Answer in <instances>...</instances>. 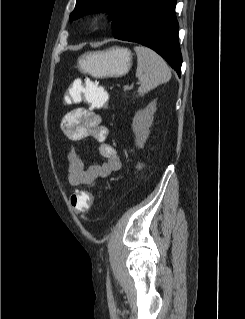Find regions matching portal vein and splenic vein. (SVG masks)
Returning <instances> with one entry per match:
<instances>
[{"label":"portal vein and splenic vein","mask_w":245,"mask_h":319,"mask_svg":"<svg viewBox=\"0 0 245 319\" xmlns=\"http://www.w3.org/2000/svg\"><path fill=\"white\" fill-rule=\"evenodd\" d=\"M123 89H124V90H129V89H131V87H129V86H124Z\"/></svg>","instance_id":"obj_1"}]
</instances>
